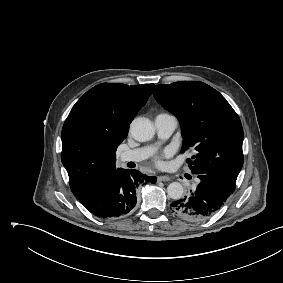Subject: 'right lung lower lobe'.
Returning a JSON list of instances; mask_svg holds the SVG:
<instances>
[{"mask_svg": "<svg viewBox=\"0 0 283 283\" xmlns=\"http://www.w3.org/2000/svg\"><path fill=\"white\" fill-rule=\"evenodd\" d=\"M137 170L119 169L105 182L78 198L91 213L102 218H117L131 211L136 202V188L142 182L155 183Z\"/></svg>", "mask_w": 283, "mask_h": 283, "instance_id": "right-lung-lower-lobe-1", "label": "right lung lower lobe"}]
</instances>
